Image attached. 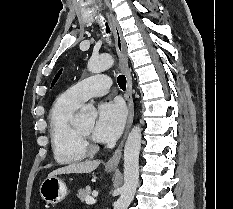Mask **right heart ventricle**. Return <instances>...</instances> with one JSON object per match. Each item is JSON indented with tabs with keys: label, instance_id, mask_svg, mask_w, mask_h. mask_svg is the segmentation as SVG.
Masks as SVG:
<instances>
[{
	"label": "right heart ventricle",
	"instance_id": "obj_1",
	"mask_svg": "<svg viewBox=\"0 0 233 209\" xmlns=\"http://www.w3.org/2000/svg\"><path fill=\"white\" fill-rule=\"evenodd\" d=\"M80 104L70 99L67 92L54 102L49 115V134L56 162L72 164L83 160L87 153L81 147L76 126L73 123L75 112Z\"/></svg>",
	"mask_w": 233,
	"mask_h": 209
}]
</instances>
